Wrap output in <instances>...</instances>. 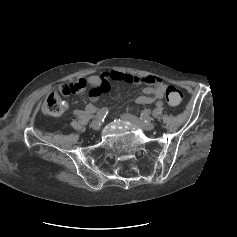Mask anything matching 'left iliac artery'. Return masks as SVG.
<instances>
[{
	"label": "left iliac artery",
	"instance_id": "left-iliac-artery-1",
	"mask_svg": "<svg viewBox=\"0 0 237 237\" xmlns=\"http://www.w3.org/2000/svg\"><path fill=\"white\" fill-rule=\"evenodd\" d=\"M156 106H157V107H162V106H163V102H162V101H158V102L156 103Z\"/></svg>",
	"mask_w": 237,
	"mask_h": 237
}]
</instances>
